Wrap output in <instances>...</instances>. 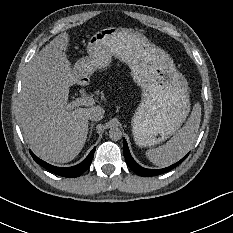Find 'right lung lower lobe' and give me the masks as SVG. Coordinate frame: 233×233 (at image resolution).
Wrapping results in <instances>:
<instances>
[{
    "mask_svg": "<svg viewBox=\"0 0 233 233\" xmlns=\"http://www.w3.org/2000/svg\"><path fill=\"white\" fill-rule=\"evenodd\" d=\"M94 152H95V148L89 153V155L86 157V159L83 162H81L80 164L73 166V167L62 168V167H55V166H52V165L44 162L43 160H41L37 156H35L32 153V151H30V153H31L33 159L36 161V163L43 166L45 169L49 170L50 172H52L56 175H59V176H63V177H78L82 173H84L90 167Z\"/></svg>",
    "mask_w": 233,
    "mask_h": 233,
    "instance_id": "right-lung-lower-lobe-1",
    "label": "right lung lower lobe"
}]
</instances>
